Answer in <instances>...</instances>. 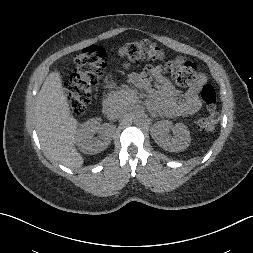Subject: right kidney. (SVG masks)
<instances>
[{
	"instance_id": "1",
	"label": "right kidney",
	"mask_w": 253,
	"mask_h": 253,
	"mask_svg": "<svg viewBox=\"0 0 253 253\" xmlns=\"http://www.w3.org/2000/svg\"><path fill=\"white\" fill-rule=\"evenodd\" d=\"M113 128L100 126L97 119H91L81 124L76 134L77 145L83 153L96 154L105 150L111 142ZM99 133L100 139L94 138V134Z\"/></svg>"
}]
</instances>
